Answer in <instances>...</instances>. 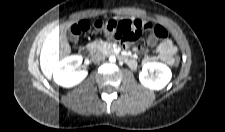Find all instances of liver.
Wrapping results in <instances>:
<instances>
[{
	"mask_svg": "<svg viewBox=\"0 0 225 132\" xmlns=\"http://www.w3.org/2000/svg\"><path fill=\"white\" fill-rule=\"evenodd\" d=\"M76 21L67 22L58 26L46 39L41 55L40 66L44 75L51 79L52 69L57 61L71 53V47L66 38V30Z\"/></svg>",
	"mask_w": 225,
	"mask_h": 132,
	"instance_id": "1",
	"label": "liver"
}]
</instances>
